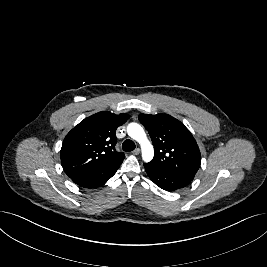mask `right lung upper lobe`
<instances>
[{
    "label": "right lung upper lobe",
    "instance_id": "cb5924a9",
    "mask_svg": "<svg viewBox=\"0 0 267 267\" xmlns=\"http://www.w3.org/2000/svg\"><path fill=\"white\" fill-rule=\"evenodd\" d=\"M129 115L103 111L82 120L64 138L61 163L68 177L73 178L91 170L122 162L125 155L117 152L116 129Z\"/></svg>",
    "mask_w": 267,
    "mask_h": 267
}]
</instances>
